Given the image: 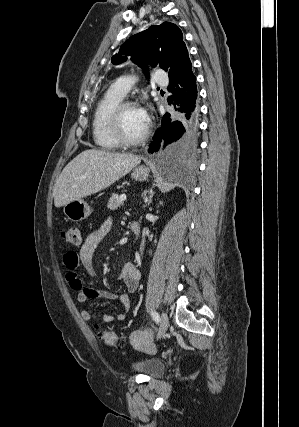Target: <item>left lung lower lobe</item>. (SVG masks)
<instances>
[{
  "instance_id": "1",
  "label": "left lung lower lobe",
  "mask_w": 299,
  "mask_h": 427,
  "mask_svg": "<svg viewBox=\"0 0 299 427\" xmlns=\"http://www.w3.org/2000/svg\"><path fill=\"white\" fill-rule=\"evenodd\" d=\"M168 71V90L172 92L168 103L179 113V119L171 123L168 113L163 117L162 126L154 135L149 152L157 151L162 142L168 159L187 160L195 155L198 147V107L196 77L192 72V64L184 42Z\"/></svg>"
}]
</instances>
